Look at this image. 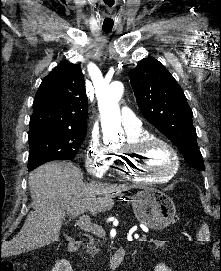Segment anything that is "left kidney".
Returning a JSON list of instances; mask_svg holds the SVG:
<instances>
[{
  "label": "left kidney",
  "mask_w": 221,
  "mask_h": 271,
  "mask_svg": "<svg viewBox=\"0 0 221 271\" xmlns=\"http://www.w3.org/2000/svg\"><path fill=\"white\" fill-rule=\"evenodd\" d=\"M154 271H171V269L165 263H157Z\"/></svg>",
  "instance_id": "left-kidney-1"
}]
</instances>
